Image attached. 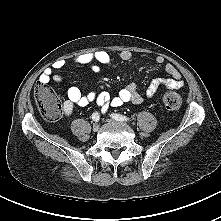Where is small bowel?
Listing matches in <instances>:
<instances>
[{"instance_id":"c3829d8e","label":"small bowel","mask_w":221,"mask_h":221,"mask_svg":"<svg viewBox=\"0 0 221 221\" xmlns=\"http://www.w3.org/2000/svg\"><path fill=\"white\" fill-rule=\"evenodd\" d=\"M117 57L122 61H129L132 59V53L124 50L117 54ZM112 61V55L104 50H98L94 52L82 53L73 58V63L77 65H90L91 69L98 73L101 65H109ZM157 64H163L164 58L161 56L155 59ZM65 60H57L52 68H47L39 77V82L48 83L51 80L54 82H61L62 76L55 73L54 70L62 69L65 66ZM165 71L169 75L168 78H158L150 82L146 89L147 97H153L158 89L162 86L169 89H180L183 87L184 82L181 78L180 72L177 68L167 63L165 65ZM143 101V97L137 91L136 85L133 83L128 84L121 89L116 95H111L104 91H91L87 94H83L79 88L70 87L67 91V99L63 104V111L66 116L72 115L76 106L85 107L91 103H95L102 107L103 111H106L108 107H120L125 103L131 102L133 104H140Z\"/></svg>"}]
</instances>
